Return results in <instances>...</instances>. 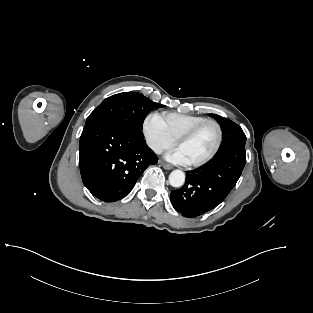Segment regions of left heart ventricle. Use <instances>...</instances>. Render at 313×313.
<instances>
[{
	"label": "left heart ventricle",
	"mask_w": 313,
	"mask_h": 313,
	"mask_svg": "<svg viewBox=\"0 0 313 313\" xmlns=\"http://www.w3.org/2000/svg\"><path fill=\"white\" fill-rule=\"evenodd\" d=\"M217 141V130L214 125L202 128L190 140L178 145L189 162H196L206 157L214 148Z\"/></svg>",
	"instance_id": "1"
}]
</instances>
